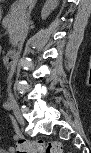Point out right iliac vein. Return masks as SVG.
I'll return each instance as SVG.
<instances>
[{
	"label": "right iliac vein",
	"mask_w": 91,
	"mask_h": 153,
	"mask_svg": "<svg viewBox=\"0 0 91 153\" xmlns=\"http://www.w3.org/2000/svg\"><path fill=\"white\" fill-rule=\"evenodd\" d=\"M9 103H10L11 109L14 112V114L16 115L18 121L23 125L24 124V119L21 116L19 106H18V104H17V102H16V100L13 96L9 97Z\"/></svg>",
	"instance_id": "1"
}]
</instances>
